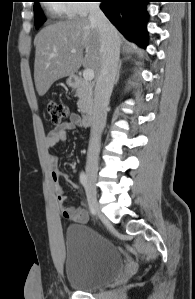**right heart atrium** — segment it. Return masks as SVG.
Wrapping results in <instances>:
<instances>
[{"label": "right heart atrium", "mask_w": 195, "mask_h": 299, "mask_svg": "<svg viewBox=\"0 0 195 299\" xmlns=\"http://www.w3.org/2000/svg\"><path fill=\"white\" fill-rule=\"evenodd\" d=\"M91 2H93V0H72L67 4L70 6L72 15L86 16L93 9Z\"/></svg>", "instance_id": "right-heart-atrium-1"}]
</instances>
